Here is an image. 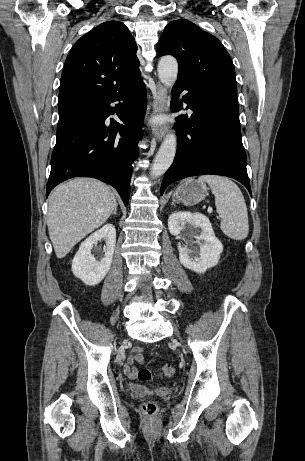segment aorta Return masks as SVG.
I'll list each match as a JSON object with an SVG mask.
<instances>
[{"instance_id":"762f6f07","label":"aorta","mask_w":305,"mask_h":461,"mask_svg":"<svg viewBox=\"0 0 305 461\" xmlns=\"http://www.w3.org/2000/svg\"><path fill=\"white\" fill-rule=\"evenodd\" d=\"M178 75V63L172 56H164L158 63V77L166 86L171 87L175 83ZM177 146L176 135L169 133L162 142L156 157L154 159L150 174L153 178H157L164 174L171 166Z\"/></svg>"}]
</instances>
